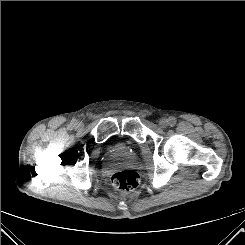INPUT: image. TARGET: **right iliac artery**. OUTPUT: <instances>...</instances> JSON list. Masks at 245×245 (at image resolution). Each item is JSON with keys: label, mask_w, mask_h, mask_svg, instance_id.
I'll return each instance as SVG.
<instances>
[{"label": "right iliac artery", "mask_w": 245, "mask_h": 245, "mask_svg": "<svg viewBox=\"0 0 245 245\" xmlns=\"http://www.w3.org/2000/svg\"><path fill=\"white\" fill-rule=\"evenodd\" d=\"M76 124H77L76 120H72L69 126L74 127L76 126Z\"/></svg>", "instance_id": "obj_1"}]
</instances>
